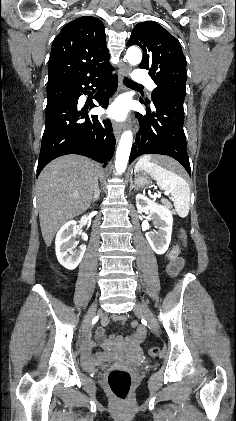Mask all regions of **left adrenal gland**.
<instances>
[{"instance_id":"obj_1","label":"left adrenal gland","mask_w":236,"mask_h":421,"mask_svg":"<svg viewBox=\"0 0 236 421\" xmlns=\"http://www.w3.org/2000/svg\"><path fill=\"white\" fill-rule=\"evenodd\" d=\"M135 184H133V180H132V176L130 178V190H132V188H134ZM134 190H136V188H134Z\"/></svg>"}]
</instances>
